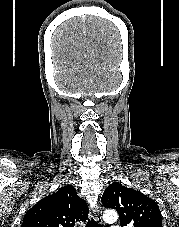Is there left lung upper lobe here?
I'll return each instance as SVG.
<instances>
[{
	"label": "left lung upper lobe",
	"instance_id": "obj_1",
	"mask_svg": "<svg viewBox=\"0 0 179 227\" xmlns=\"http://www.w3.org/2000/svg\"><path fill=\"white\" fill-rule=\"evenodd\" d=\"M101 202L118 211L122 227H162L158 205L139 191L113 183L105 189Z\"/></svg>",
	"mask_w": 179,
	"mask_h": 227
}]
</instances>
